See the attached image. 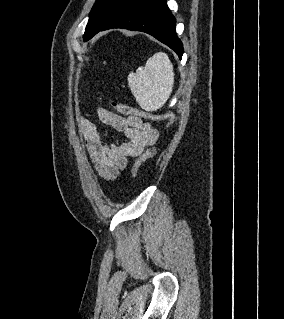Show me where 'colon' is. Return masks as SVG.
<instances>
[{
	"instance_id": "5ec220e1",
	"label": "colon",
	"mask_w": 284,
	"mask_h": 319,
	"mask_svg": "<svg viewBox=\"0 0 284 319\" xmlns=\"http://www.w3.org/2000/svg\"><path fill=\"white\" fill-rule=\"evenodd\" d=\"M110 105L115 111H117L118 113H121L123 115L134 116V117H138V118H142V119H146V120H151V121H166L168 127L172 126L176 120V116L172 112L152 114L149 112L138 110L134 107H131L127 104H124V103H121L118 101H111ZM155 154H156V151L154 149H149V150L145 151L142 155H140L134 161V163L132 165V169H131L132 176L134 178H136L138 176L139 170H140L142 164L146 160L154 157Z\"/></svg>"
}]
</instances>
